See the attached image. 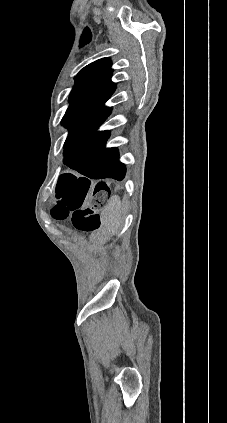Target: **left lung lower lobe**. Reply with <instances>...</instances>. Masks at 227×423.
<instances>
[{
	"instance_id": "1",
	"label": "left lung lower lobe",
	"mask_w": 227,
	"mask_h": 423,
	"mask_svg": "<svg viewBox=\"0 0 227 423\" xmlns=\"http://www.w3.org/2000/svg\"><path fill=\"white\" fill-rule=\"evenodd\" d=\"M105 119L90 123L68 136L64 164L91 179L122 180L126 169L119 161L117 148H105L108 131L97 132Z\"/></svg>"
}]
</instances>
